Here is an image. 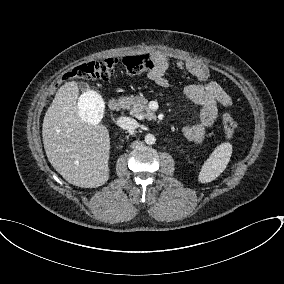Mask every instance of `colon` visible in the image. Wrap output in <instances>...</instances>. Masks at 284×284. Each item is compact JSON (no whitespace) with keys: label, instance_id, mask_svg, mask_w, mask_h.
I'll use <instances>...</instances> for the list:
<instances>
[{"label":"colon","instance_id":"5ec220e1","mask_svg":"<svg viewBox=\"0 0 284 284\" xmlns=\"http://www.w3.org/2000/svg\"><path fill=\"white\" fill-rule=\"evenodd\" d=\"M119 67L129 75H139L152 70L153 61L148 55L95 60L76 66L66 73L63 79L109 80L114 77ZM222 121L227 137L232 138L236 129L232 115L228 112L223 113Z\"/></svg>","mask_w":284,"mask_h":284}]
</instances>
